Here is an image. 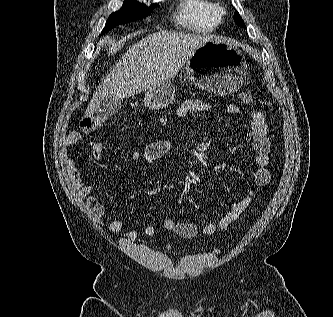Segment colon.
I'll list each match as a JSON object with an SVG mask.
<instances>
[{
    "instance_id": "obj_1",
    "label": "colon",
    "mask_w": 333,
    "mask_h": 317,
    "mask_svg": "<svg viewBox=\"0 0 333 317\" xmlns=\"http://www.w3.org/2000/svg\"><path fill=\"white\" fill-rule=\"evenodd\" d=\"M239 99L245 104H252L254 101L250 92H240ZM102 122L103 120L99 117H85L81 121V127L86 132H94L101 126Z\"/></svg>"
}]
</instances>
